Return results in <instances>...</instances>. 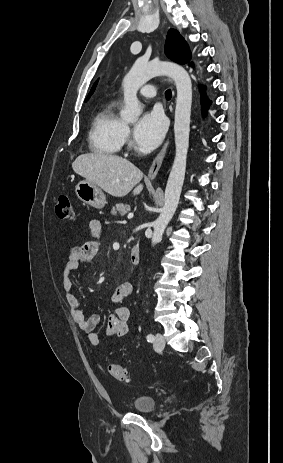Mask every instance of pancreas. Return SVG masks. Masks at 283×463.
Returning a JSON list of instances; mask_svg holds the SVG:
<instances>
[{
	"mask_svg": "<svg viewBox=\"0 0 283 463\" xmlns=\"http://www.w3.org/2000/svg\"><path fill=\"white\" fill-rule=\"evenodd\" d=\"M129 211H130V206L128 204L119 203V204H116V206L112 208L111 214L124 216Z\"/></svg>",
	"mask_w": 283,
	"mask_h": 463,
	"instance_id": "1",
	"label": "pancreas"
}]
</instances>
